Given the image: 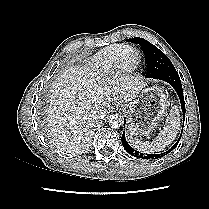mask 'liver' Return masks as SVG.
Returning <instances> with one entry per match:
<instances>
[{
    "label": "liver",
    "mask_w": 209,
    "mask_h": 209,
    "mask_svg": "<svg viewBox=\"0 0 209 209\" xmlns=\"http://www.w3.org/2000/svg\"><path fill=\"white\" fill-rule=\"evenodd\" d=\"M145 83L136 77H104L90 68H69L52 84L48 127L63 152L80 154L90 144L91 124L114 100H132Z\"/></svg>",
    "instance_id": "6515ba94"
}]
</instances>
